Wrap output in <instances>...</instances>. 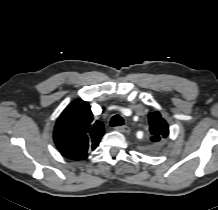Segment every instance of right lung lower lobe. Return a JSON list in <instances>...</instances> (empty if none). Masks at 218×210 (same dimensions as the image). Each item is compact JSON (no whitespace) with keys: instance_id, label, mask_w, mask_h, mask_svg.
<instances>
[{"instance_id":"1","label":"right lung lower lobe","mask_w":218,"mask_h":210,"mask_svg":"<svg viewBox=\"0 0 218 210\" xmlns=\"http://www.w3.org/2000/svg\"><path fill=\"white\" fill-rule=\"evenodd\" d=\"M62 155L65 156L66 158L76 160V159H74L73 157H70V156L65 155L64 153H62Z\"/></svg>"}]
</instances>
